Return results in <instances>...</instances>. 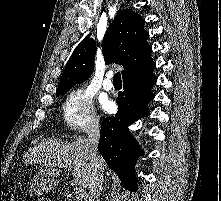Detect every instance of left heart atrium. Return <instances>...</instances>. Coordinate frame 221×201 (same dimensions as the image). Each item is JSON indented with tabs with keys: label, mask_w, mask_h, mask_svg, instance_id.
I'll return each instance as SVG.
<instances>
[{
	"label": "left heart atrium",
	"mask_w": 221,
	"mask_h": 201,
	"mask_svg": "<svg viewBox=\"0 0 221 201\" xmlns=\"http://www.w3.org/2000/svg\"><path fill=\"white\" fill-rule=\"evenodd\" d=\"M102 106H103V108H104L106 111H109V110H111V108H112V104H111V102L108 101V100H104V101L102 102Z\"/></svg>",
	"instance_id": "39dd6f15"
}]
</instances>
